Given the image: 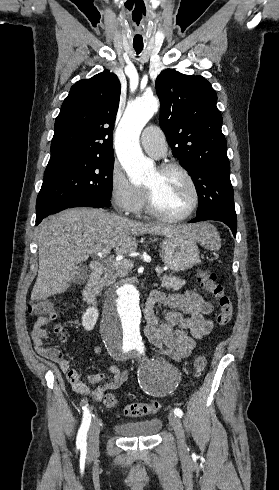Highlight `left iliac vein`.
<instances>
[{"label":"left iliac vein","mask_w":279,"mask_h":490,"mask_svg":"<svg viewBox=\"0 0 279 490\" xmlns=\"http://www.w3.org/2000/svg\"><path fill=\"white\" fill-rule=\"evenodd\" d=\"M168 418H169L170 425L172 426V428L175 431L176 439H177V446H178L179 450H185L187 444L185 441L184 430H183V426H182L180 418L173 413H169Z\"/></svg>","instance_id":"obj_1"}]
</instances>
